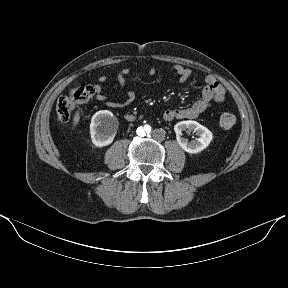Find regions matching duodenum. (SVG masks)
I'll return each mask as SVG.
<instances>
[{"mask_svg": "<svg viewBox=\"0 0 288 288\" xmlns=\"http://www.w3.org/2000/svg\"><path fill=\"white\" fill-rule=\"evenodd\" d=\"M126 117H127L128 119H130V120H132V119L135 118V116H133V115H131V114H128Z\"/></svg>", "mask_w": 288, "mask_h": 288, "instance_id": "obj_1", "label": "duodenum"}]
</instances>
